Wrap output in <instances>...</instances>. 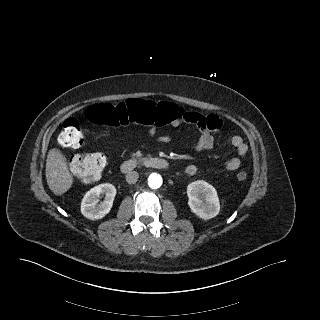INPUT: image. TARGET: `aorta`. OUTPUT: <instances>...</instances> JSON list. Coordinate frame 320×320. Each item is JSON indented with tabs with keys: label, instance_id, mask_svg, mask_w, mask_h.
Returning a JSON list of instances; mask_svg holds the SVG:
<instances>
[{
	"label": "aorta",
	"instance_id": "obj_1",
	"mask_svg": "<svg viewBox=\"0 0 320 320\" xmlns=\"http://www.w3.org/2000/svg\"><path fill=\"white\" fill-rule=\"evenodd\" d=\"M162 183H163L162 177H161V175H159L157 173H152L148 177V185L152 189L160 188Z\"/></svg>",
	"mask_w": 320,
	"mask_h": 320
}]
</instances>
